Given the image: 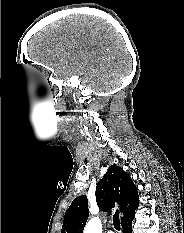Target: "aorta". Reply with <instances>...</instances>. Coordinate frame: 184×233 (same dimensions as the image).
I'll return each mask as SVG.
<instances>
[{"mask_svg": "<svg viewBox=\"0 0 184 233\" xmlns=\"http://www.w3.org/2000/svg\"><path fill=\"white\" fill-rule=\"evenodd\" d=\"M84 233H102V224L99 218H92L86 225Z\"/></svg>", "mask_w": 184, "mask_h": 233, "instance_id": "1", "label": "aorta"}]
</instances>
